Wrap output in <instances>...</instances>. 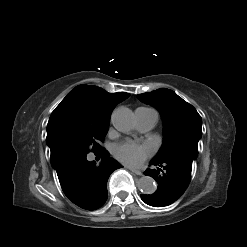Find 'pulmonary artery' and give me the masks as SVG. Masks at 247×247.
<instances>
[{"instance_id":"1","label":"pulmonary artery","mask_w":247,"mask_h":247,"mask_svg":"<svg viewBox=\"0 0 247 247\" xmlns=\"http://www.w3.org/2000/svg\"><path fill=\"white\" fill-rule=\"evenodd\" d=\"M137 128L140 131L150 130L156 122L157 113L149 108H138L135 111Z\"/></svg>"}]
</instances>
